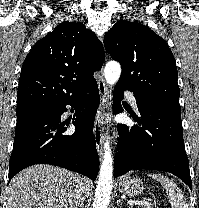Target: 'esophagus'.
<instances>
[{
    "instance_id": "obj_1",
    "label": "esophagus",
    "mask_w": 199,
    "mask_h": 208,
    "mask_svg": "<svg viewBox=\"0 0 199 208\" xmlns=\"http://www.w3.org/2000/svg\"><path fill=\"white\" fill-rule=\"evenodd\" d=\"M102 74V70H101ZM98 89L100 94V105L97 110L96 119L94 123V137L96 141V148L98 155L102 157L103 154V117L104 110L107 106L109 91L102 75L98 79Z\"/></svg>"
}]
</instances>
